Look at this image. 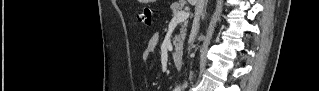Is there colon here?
<instances>
[{"label": "colon", "instance_id": "colon-1", "mask_svg": "<svg viewBox=\"0 0 319 91\" xmlns=\"http://www.w3.org/2000/svg\"><path fill=\"white\" fill-rule=\"evenodd\" d=\"M152 13L153 12H152L151 8H149V7L144 8L139 13V19H140L141 23L147 27H151L154 23Z\"/></svg>", "mask_w": 319, "mask_h": 91}]
</instances>
